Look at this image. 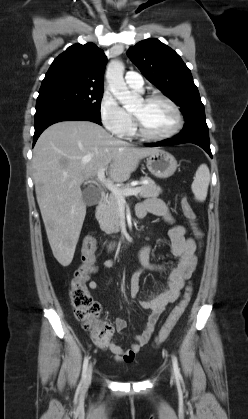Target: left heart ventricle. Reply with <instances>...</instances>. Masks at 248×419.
<instances>
[{"mask_svg": "<svg viewBox=\"0 0 248 419\" xmlns=\"http://www.w3.org/2000/svg\"><path fill=\"white\" fill-rule=\"evenodd\" d=\"M132 114L137 115L146 131L154 135L169 132L176 123V116L172 108L163 101L146 103L140 100Z\"/></svg>", "mask_w": 248, "mask_h": 419, "instance_id": "obj_1", "label": "left heart ventricle"}]
</instances>
